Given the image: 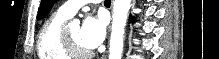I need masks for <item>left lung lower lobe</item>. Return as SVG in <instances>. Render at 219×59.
<instances>
[{
	"instance_id": "left-lung-lower-lobe-1",
	"label": "left lung lower lobe",
	"mask_w": 219,
	"mask_h": 59,
	"mask_svg": "<svg viewBox=\"0 0 219 59\" xmlns=\"http://www.w3.org/2000/svg\"><path fill=\"white\" fill-rule=\"evenodd\" d=\"M130 20H131L132 22L135 21V19H134L132 16H130Z\"/></svg>"
}]
</instances>
